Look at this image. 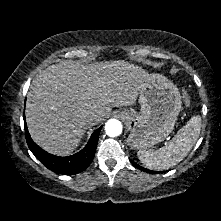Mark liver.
<instances>
[{"label": "liver", "instance_id": "1", "mask_svg": "<svg viewBox=\"0 0 221 221\" xmlns=\"http://www.w3.org/2000/svg\"><path fill=\"white\" fill-rule=\"evenodd\" d=\"M148 76L124 60L47 67L36 75L27 95L26 123L32 139L49 153L69 155L93 126L86 118L96 115L97 125L112 107L134 105Z\"/></svg>", "mask_w": 221, "mask_h": 221}]
</instances>
